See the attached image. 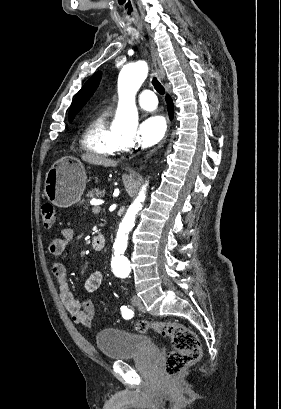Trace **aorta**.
I'll list each match as a JSON object with an SVG mask.
<instances>
[{"label": "aorta", "mask_w": 281, "mask_h": 409, "mask_svg": "<svg viewBox=\"0 0 281 409\" xmlns=\"http://www.w3.org/2000/svg\"><path fill=\"white\" fill-rule=\"evenodd\" d=\"M148 74V65L144 61L125 65L118 79L119 102L113 129L120 133L134 132L138 125V111L135 105V95ZM146 186H143L138 197L129 206L119 227L120 232L133 228L135 217L142 209L145 200Z\"/></svg>", "instance_id": "1"}]
</instances>
